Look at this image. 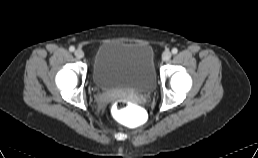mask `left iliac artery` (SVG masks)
I'll list each match as a JSON object with an SVG mask.
<instances>
[{
	"label": "left iliac artery",
	"instance_id": "left-iliac-artery-1",
	"mask_svg": "<svg viewBox=\"0 0 258 158\" xmlns=\"http://www.w3.org/2000/svg\"><path fill=\"white\" fill-rule=\"evenodd\" d=\"M177 52H178V49H177V48H173V49H172V53H173V54H177Z\"/></svg>",
	"mask_w": 258,
	"mask_h": 158
}]
</instances>
